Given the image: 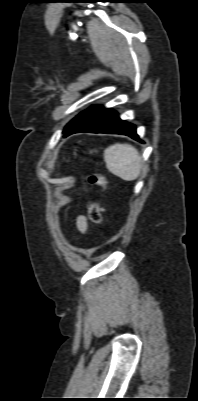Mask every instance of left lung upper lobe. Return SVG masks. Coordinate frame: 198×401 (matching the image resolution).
I'll list each match as a JSON object with an SVG mask.
<instances>
[{"instance_id":"left-lung-upper-lobe-1","label":"left lung upper lobe","mask_w":198,"mask_h":401,"mask_svg":"<svg viewBox=\"0 0 198 401\" xmlns=\"http://www.w3.org/2000/svg\"><path fill=\"white\" fill-rule=\"evenodd\" d=\"M79 116V115H78ZM78 116H76L73 120H71L68 124H67V126L65 127V129H64V131L63 132H66L67 130H68V128L71 126V124L77 119V117Z\"/></svg>"}]
</instances>
